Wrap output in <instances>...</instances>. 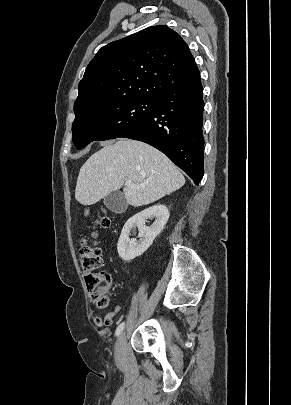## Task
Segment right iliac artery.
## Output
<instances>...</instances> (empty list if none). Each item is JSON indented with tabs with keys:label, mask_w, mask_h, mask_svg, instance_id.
Here are the masks:
<instances>
[{
	"label": "right iliac artery",
	"mask_w": 291,
	"mask_h": 405,
	"mask_svg": "<svg viewBox=\"0 0 291 405\" xmlns=\"http://www.w3.org/2000/svg\"><path fill=\"white\" fill-rule=\"evenodd\" d=\"M124 326H125L124 323H121L120 325H118V327H117V329H116V332H115V335H116V336H119V335L122 333V331H123V329H124Z\"/></svg>",
	"instance_id": "1"
}]
</instances>
